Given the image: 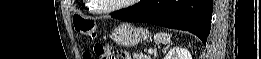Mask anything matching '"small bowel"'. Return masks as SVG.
<instances>
[{"label":"small bowel","instance_id":"1","mask_svg":"<svg viewBox=\"0 0 261 59\" xmlns=\"http://www.w3.org/2000/svg\"><path fill=\"white\" fill-rule=\"evenodd\" d=\"M119 53H120L119 58H122V59H130V56H129V54H128L127 52H125V51H119Z\"/></svg>","mask_w":261,"mask_h":59}]
</instances>
